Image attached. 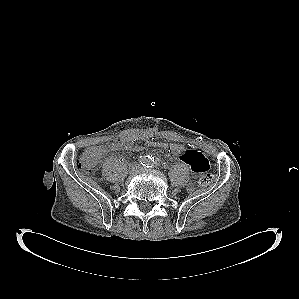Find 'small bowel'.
<instances>
[{
	"label": "small bowel",
	"mask_w": 299,
	"mask_h": 299,
	"mask_svg": "<svg viewBox=\"0 0 299 299\" xmlns=\"http://www.w3.org/2000/svg\"><path fill=\"white\" fill-rule=\"evenodd\" d=\"M128 146L134 144L135 138L125 137L122 139ZM180 160L189 165L192 172L195 174H202L208 171L209 162L206 157L195 149H188L183 147V151L178 155Z\"/></svg>",
	"instance_id": "1"
}]
</instances>
